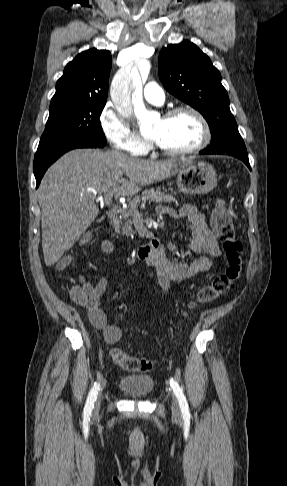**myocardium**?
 Returning a JSON list of instances; mask_svg holds the SVG:
<instances>
[{"label": "myocardium", "mask_w": 287, "mask_h": 486, "mask_svg": "<svg viewBox=\"0 0 287 486\" xmlns=\"http://www.w3.org/2000/svg\"><path fill=\"white\" fill-rule=\"evenodd\" d=\"M184 113L192 115L199 122L200 127H201V132H202L201 139L195 146H193L191 148L183 149V150L166 149V148L160 146L155 141H153L154 147L159 152H161L162 154H164L166 156L183 157V156L196 154V153L202 151L203 149H205L211 141V129H210L209 123L206 120V118L204 117V115L194 107L178 106V107L172 108L165 113V115L163 116V119L168 120V119H171V118H173L177 115L184 114Z\"/></svg>", "instance_id": "obj_1"}]
</instances>
